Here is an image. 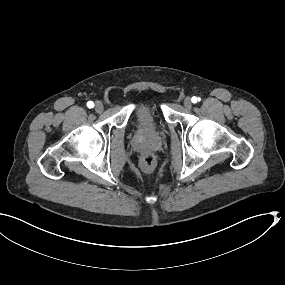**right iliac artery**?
Returning a JSON list of instances; mask_svg holds the SVG:
<instances>
[{
  "instance_id": "obj_1",
  "label": "right iliac artery",
  "mask_w": 285,
  "mask_h": 285,
  "mask_svg": "<svg viewBox=\"0 0 285 285\" xmlns=\"http://www.w3.org/2000/svg\"><path fill=\"white\" fill-rule=\"evenodd\" d=\"M87 106H88V108H93L94 103L92 101H89V102H87Z\"/></svg>"
}]
</instances>
